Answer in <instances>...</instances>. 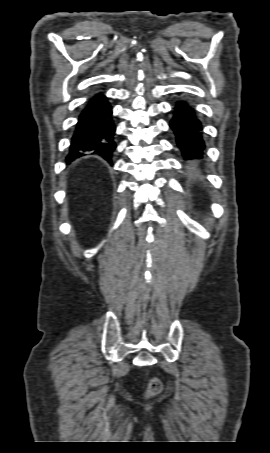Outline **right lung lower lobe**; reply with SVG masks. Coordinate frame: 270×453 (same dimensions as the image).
<instances>
[{
    "mask_svg": "<svg viewBox=\"0 0 270 453\" xmlns=\"http://www.w3.org/2000/svg\"><path fill=\"white\" fill-rule=\"evenodd\" d=\"M115 129L107 98L101 93L93 96L78 117L66 162L87 154L99 155L111 162L116 148Z\"/></svg>",
    "mask_w": 270,
    "mask_h": 453,
    "instance_id": "obj_1",
    "label": "right lung lower lobe"
}]
</instances>
